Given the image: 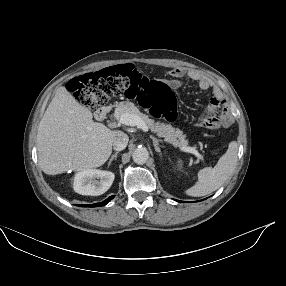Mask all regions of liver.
I'll return each instance as SVG.
<instances>
[{
    "label": "liver",
    "mask_w": 286,
    "mask_h": 286,
    "mask_svg": "<svg viewBox=\"0 0 286 286\" xmlns=\"http://www.w3.org/2000/svg\"><path fill=\"white\" fill-rule=\"evenodd\" d=\"M65 87H59L48 105L37 133L39 165L44 173L83 171L102 166L112 153V131L94 122Z\"/></svg>",
    "instance_id": "6515ba94"
}]
</instances>
